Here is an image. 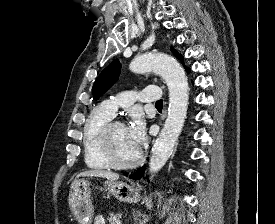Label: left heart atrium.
Masks as SVG:
<instances>
[{
	"instance_id": "1",
	"label": "left heart atrium",
	"mask_w": 275,
	"mask_h": 224,
	"mask_svg": "<svg viewBox=\"0 0 275 224\" xmlns=\"http://www.w3.org/2000/svg\"><path fill=\"white\" fill-rule=\"evenodd\" d=\"M127 134L138 149L144 144L146 140L145 128L140 118H135L131 124L126 127Z\"/></svg>"
}]
</instances>
